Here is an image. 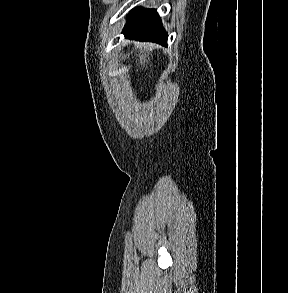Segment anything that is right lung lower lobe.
<instances>
[{
  "label": "right lung lower lobe",
  "instance_id": "obj_1",
  "mask_svg": "<svg viewBox=\"0 0 288 293\" xmlns=\"http://www.w3.org/2000/svg\"><path fill=\"white\" fill-rule=\"evenodd\" d=\"M123 33L131 39L167 45V33L154 9L136 8L131 11Z\"/></svg>",
  "mask_w": 288,
  "mask_h": 293
}]
</instances>
